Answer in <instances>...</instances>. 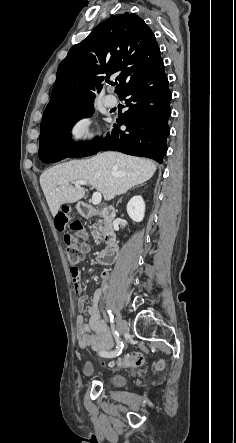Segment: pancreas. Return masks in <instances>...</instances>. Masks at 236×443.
<instances>
[{
  "mask_svg": "<svg viewBox=\"0 0 236 443\" xmlns=\"http://www.w3.org/2000/svg\"><path fill=\"white\" fill-rule=\"evenodd\" d=\"M91 229H92L91 230V234H92V236L94 238L95 243L99 244L98 240L101 238V235H103V227L94 224L91 227Z\"/></svg>",
  "mask_w": 236,
  "mask_h": 443,
  "instance_id": "obj_1",
  "label": "pancreas"
}]
</instances>
